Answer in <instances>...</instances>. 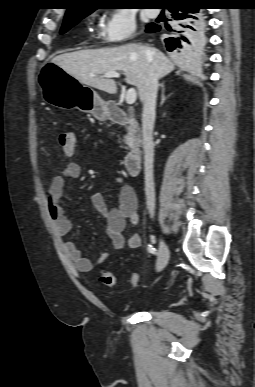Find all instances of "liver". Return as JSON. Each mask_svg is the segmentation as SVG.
<instances>
[{"label":"liver","instance_id":"liver-1","mask_svg":"<svg viewBox=\"0 0 255 387\" xmlns=\"http://www.w3.org/2000/svg\"><path fill=\"white\" fill-rule=\"evenodd\" d=\"M52 63L81 84L109 94H115L117 86L113 79L103 77L104 73L122 71L126 82L135 86L140 95L150 66L158 78H163L174 70L173 62L161 51L137 44L63 53L54 57Z\"/></svg>","mask_w":255,"mask_h":387}]
</instances>
